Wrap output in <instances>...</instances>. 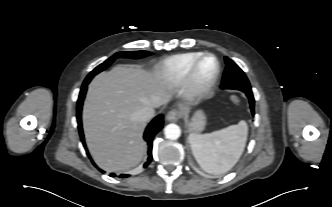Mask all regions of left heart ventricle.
<instances>
[{"label":"left heart ventricle","mask_w":332,"mask_h":207,"mask_svg":"<svg viewBox=\"0 0 332 207\" xmlns=\"http://www.w3.org/2000/svg\"><path fill=\"white\" fill-rule=\"evenodd\" d=\"M215 69V62L212 58H206L204 59L199 68H198V78L202 81L205 82L207 81L211 75L213 74Z\"/></svg>","instance_id":"left-heart-ventricle-1"}]
</instances>
